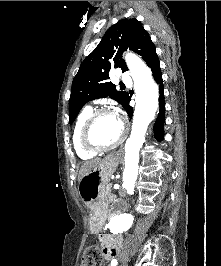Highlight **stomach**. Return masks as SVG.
<instances>
[{"label":"stomach","instance_id":"stomach-1","mask_svg":"<svg viewBox=\"0 0 221 266\" xmlns=\"http://www.w3.org/2000/svg\"><path fill=\"white\" fill-rule=\"evenodd\" d=\"M120 158L107 155L99 165L90 169L80 180L78 192L81 200L90 208V227L97 229L103 220L107 208L105 188L114 173Z\"/></svg>","mask_w":221,"mask_h":266}]
</instances>
